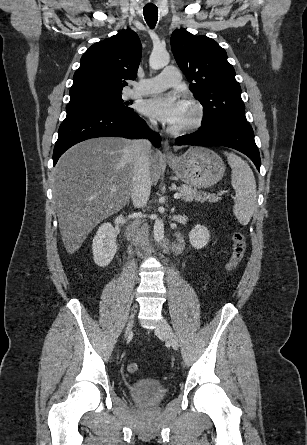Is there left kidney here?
<instances>
[{
    "label": "left kidney",
    "mask_w": 307,
    "mask_h": 445,
    "mask_svg": "<svg viewBox=\"0 0 307 445\" xmlns=\"http://www.w3.org/2000/svg\"><path fill=\"white\" fill-rule=\"evenodd\" d=\"M209 239L210 233L208 229L202 227V225H196L189 233V241L194 249H203V247L208 245Z\"/></svg>",
    "instance_id": "obj_1"
}]
</instances>
